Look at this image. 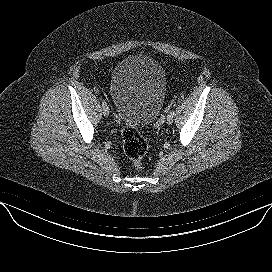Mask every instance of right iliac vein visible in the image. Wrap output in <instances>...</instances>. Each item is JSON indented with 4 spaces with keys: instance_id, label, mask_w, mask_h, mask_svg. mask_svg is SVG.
<instances>
[{
    "instance_id": "63e3f726",
    "label": "right iliac vein",
    "mask_w": 272,
    "mask_h": 272,
    "mask_svg": "<svg viewBox=\"0 0 272 272\" xmlns=\"http://www.w3.org/2000/svg\"><path fill=\"white\" fill-rule=\"evenodd\" d=\"M103 114H104V116L109 115V107L108 106L103 107Z\"/></svg>"
}]
</instances>
